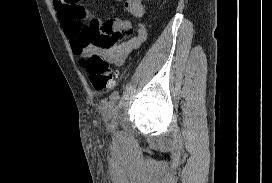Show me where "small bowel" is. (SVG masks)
Returning a JSON list of instances; mask_svg holds the SVG:
<instances>
[{
	"instance_id": "1",
	"label": "small bowel",
	"mask_w": 272,
	"mask_h": 183,
	"mask_svg": "<svg viewBox=\"0 0 272 183\" xmlns=\"http://www.w3.org/2000/svg\"><path fill=\"white\" fill-rule=\"evenodd\" d=\"M119 1H123L127 13L137 20L134 30L128 20L114 19L104 23L79 0H53L71 48L81 60L95 54L115 66H121L145 42L147 27L142 21L145 13L142 0ZM125 36L131 37L125 40Z\"/></svg>"
}]
</instances>
